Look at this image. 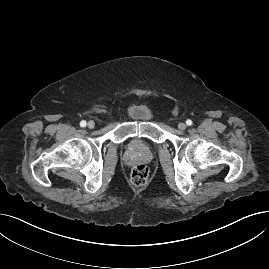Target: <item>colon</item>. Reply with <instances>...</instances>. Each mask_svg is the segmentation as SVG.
Masks as SVG:
<instances>
[{"instance_id":"colon-1","label":"colon","mask_w":269,"mask_h":269,"mask_svg":"<svg viewBox=\"0 0 269 269\" xmlns=\"http://www.w3.org/2000/svg\"><path fill=\"white\" fill-rule=\"evenodd\" d=\"M149 175V168L146 165L139 164L131 170L130 181L134 186H143L147 183Z\"/></svg>"}]
</instances>
